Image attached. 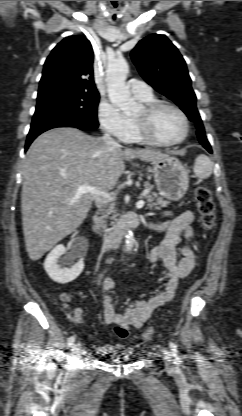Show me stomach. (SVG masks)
I'll list each match as a JSON object with an SVG mask.
<instances>
[{"label": "stomach", "instance_id": "0dacf381", "mask_svg": "<svg viewBox=\"0 0 242 416\" xmlns=\"http://www.w3.org/2000/svg\"><path fill=\"white\" fill-rule=\"evenodd\" d=\"M159 194L171 201L180 200L189 186L188 170L175 157L168 156L151 162Z\"/></svg>", "mask_w": 242, "mask_h": 416}]
</instances>
